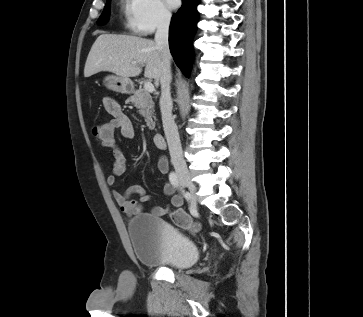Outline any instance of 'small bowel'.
I'll return each instance as SVG.
<instances>
[{
  "instance_id": "1",
  "label": "small bowel",
  "mask_w": 363,
  "mask_h": 317,
  "mask_svg": "<svg viewBox=\"0 0 363 317\" xmlns=\"http://www.w3.org/2000/svg\"><path fill=\"white\" fill-rule=\"evenodd\" d=\"M103 105L105 110L112 116V119L110 122L100 125L98 134L95 136L104 147L113 149L114 158L111 174L107 177V183L110 186H114L117 177L121 176L127 168L126 158L115 141V131L118 130L124 139H132L135 131L132 122L115 99L105 97ZM158 169L163 174L167 173L168 164L165 159L161 158L158 160ZM163 192L165 195L171 196V204L153 207L150 212L155 216L167 215L172 210L180 208L183 204V198L175 194L172 184L165 183ZM112 195L121 211L128 216L143 214L145 212L144 204L151 198L141 186L136 185L130 186L124 192L112 190ZM132 195H137L138 198L131 199Z\"/></svg>"
}]
</instances>
